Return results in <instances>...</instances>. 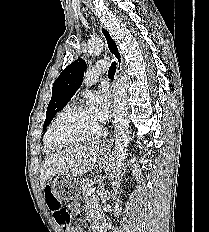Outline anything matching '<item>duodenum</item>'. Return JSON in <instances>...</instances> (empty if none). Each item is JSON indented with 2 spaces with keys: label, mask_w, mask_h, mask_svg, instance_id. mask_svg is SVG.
Listing matches in <instances>:
<instances>
[{
  "label": "duodenum",
  "mask_w": 209,
  "mask_h": 232,
  "mask_svg": "<svg viewBox=\"0 0 209 232\" xmlns=\"http://www.w3.org/2000/svg\"><path fill=\"white\" fill-rule=\"evenodd\" d=\"M95 232H104L103 231V225L100 222H98L96 224V226H95Z\"/></svg>",
  "instance_id": "410a0bca"
}]
</instances>
